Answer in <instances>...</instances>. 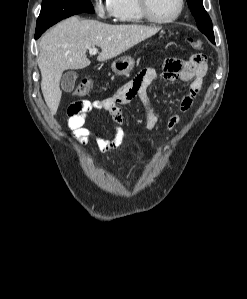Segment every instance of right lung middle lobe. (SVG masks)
<instances>
[{"label":"right lung middle lobe","instance_id":"obj_1","mask_svg":"<svg viewBox=\"0 0 247 299\" xmlns=\"http://www.w3.org/2000/svg\"><path fill=\"white\" fill-rule=\"evenodd\" d=\"M84 12L94 13L90 0H42L35 37H40L43 32L60 20Z\"/></svg>","mask_w":247,"mask_h":299}]
</instances>
